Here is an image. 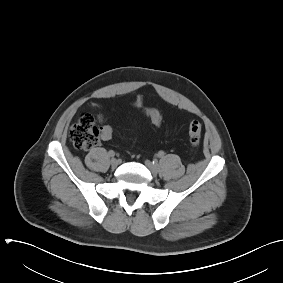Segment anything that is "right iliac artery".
Listing matches in <instances>:
<instances>
[{
	"label": "right iliac artery",
	"mask_w": 283,
	"mask_h": 283,
	"mask_svg": "<svg viewBox=\"0 0 283 283\" xmlns=\"http://www.w3.org/2000/svg\"><path fill=\"white\" fill-rule=\"evenodd\" d=\"M108 154H109L110 157H114L115 156V152L113 150H110Z\"/></svg>",
	"instance_id": "82829eb1"
}]
</instances>
